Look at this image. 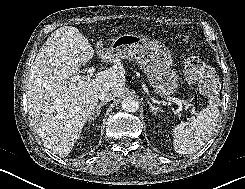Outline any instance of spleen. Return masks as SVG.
<instances>
[{
	"label": "spleen",
	"mask_w": 245,
	"mask_h": 189,
	"mask_svg": "<svg viewBox=\"0 0 245 189\" xmlns=\"http://www.w3.org/2000/svg\"><path fill=\"white\" fill-rule=\"evenodd\" d=\"M219 115L217 105L212 104L191 121L178 124L173 129L175 151L179 154H191L202 148L213 135Z\"/></svg>",
	"instance_id": "3e777b00"
}]
</instances>
